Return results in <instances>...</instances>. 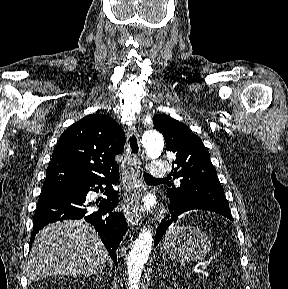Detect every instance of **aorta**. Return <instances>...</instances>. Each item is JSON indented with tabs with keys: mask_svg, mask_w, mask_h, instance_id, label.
I'll return each instance as SVG.
<instances>
[{
	"mask_svg": "<svg viewBox=\"0 0 288 289\" xmlns=\"http://www.w3.org/2000/svg\"><path fill=\"white\" fill-rule=\"evenodd\" d=\"M143 145L148 158L157 157L163 150L164 140L157 132L149 131L143 137ZM134 188H138L137 183L134 184ZM152 241L150 230L143 229L133 244L127 260L129 289H139V279L149 258Z\"/></svg>",
	"mask_w": 288,
	"mask_h": 289,
	"instance_id": "762f6f07",
	"label": "aorta"
}]
</instances>
